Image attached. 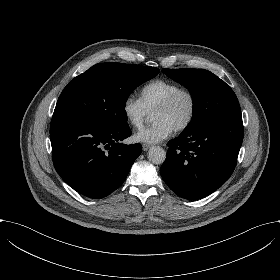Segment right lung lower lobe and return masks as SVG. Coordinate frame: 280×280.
<instances>
[{"mask_svg":"<svg viewBox=\"0 0 280 280\" xmlns=\"http://www.w3.org/2000/svg\"><path fill=\"white\" fill-rule=\"evenodd\" d=\"M130 135L128 124L109 127L73 117L52 118L54 167L78 193L95 199L106 197L125 181L142 152L141 144L120 143Z\"/></svg>","mask_w":280,"mask_h":280,"instance_id":"obj_1","label":"right lung lower lobe"}]
</instances>
